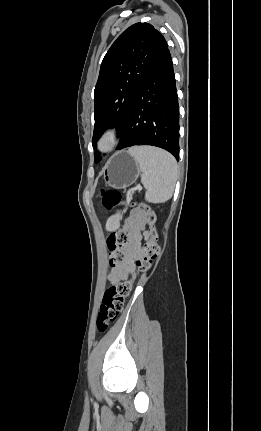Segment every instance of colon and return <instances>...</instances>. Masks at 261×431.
Returning a JSON list of instances; mask_svg holds the SVG:
<instances>
[{
  "label": "colon",
  "mask_w": 261,
  "mask_h": 431,
  "mask_svg": "<svg viewBox=\"0 0 261 431\" xmlns=\"http://www.w3.org/2000/svg\"><path fill=\"white\" fill-rule=\"evenodd\" d=\"M122 202L121 193L117 190H107L102 193V203L106 209H112ZM141 209L148 221V228L145 232L144 242L140 251V256L135 265L138 272L148 271L153 262L158 258L160 249L157 244V233L155 229L156 216L148 205H141ZM128 236L122 230H116L109 234L107 247L109 249V262L115 267L123 263L125 255L124 248L127 244ZM133 283V278L120 281L104 292L100 311L97 319V328L104 331L108 325L114 322L121 313L126 297L129 295Z\"/></svg>",
  "instance_id": "obj_1"
}]
</instances>
